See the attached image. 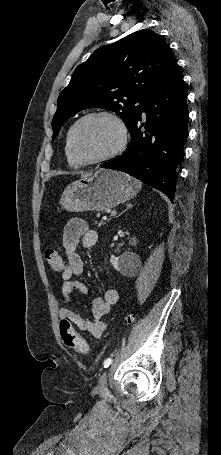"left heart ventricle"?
I'll use <instances>...</instances> for the list:
<instances>
[{
	"mask_svg": "<svg viewBox=\"0 0 221 455\" xmlns=\"http://www.w3.org/2000/svg\"><path fill=\"white\" fill-rule=\"evenodd\" d=\"M118 141L117 127L105 118H93L83 122L76 134V147L85 158H96L108 153Z\"/></svg>",
	"mask_w": 221,
	"mask_h": 455,
	"instance_id": "1",
	"label": "left heart ventricle"
}]
</instances>
